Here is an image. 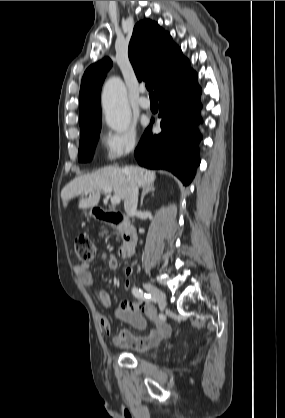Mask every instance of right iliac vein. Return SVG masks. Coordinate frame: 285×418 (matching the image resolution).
Wrapping results in <instances>:
<instances>
[{"label": "right iliac vein", "mask_w": 285, "mask_h": 418, "mask_svg": "<svg viewBox=\"0 0 285 418\" xmlns=\"http://www.w3.org/2000/svg\"><path fill=\"white\" fill-rule=\"evenodd\" d=\"M143 287L156 299L160 310L163 311L167 304L165 294L156 286L147 282L143 283Z\"/></svg>", "instance_id": "63e3f726"}]
</instances>
